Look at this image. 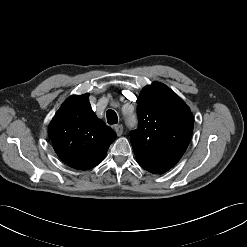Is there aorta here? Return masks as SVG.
<instances>
[{
  "label": "aorta",
  "instance_id": "1",
  "mask_svg": "<svg viewBox=\"0 0 247 247\" xmlns=\"http://www.w3.org/2000/svg\"><path fill=\"white\" fill-rule=\"evenodd\" d=\"M126 122L129 127L133 126L135 123V116L134 114L126 115Z\"/></svg>",
  "mask_w": 247,
  "mask_h": 247
}]
</instances>
